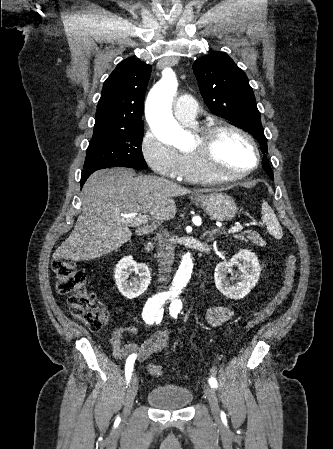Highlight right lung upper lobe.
I'll use <instances>...</instances> for the list:
<instances>
[{"label":"right lung upper lobe","instance_id":"cb5924a9","mask_svg":"<svg viewBox=\"0 0 333 449\" xmlns=\"http://www.w3.org/2000/svg\"><path fill=\"white\" fill-rule=\"evenodd\" d=\"M151 69V65L136 58H127L116 66L104 82L94 131L143 127V103Z\"/></svg>","mask_w":333,"mask_h":449}]
</instances>
